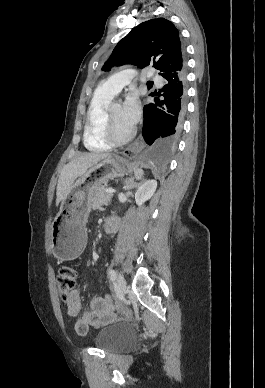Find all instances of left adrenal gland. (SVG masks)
<instances>
[{
    "instance_id": "obj_1",
    "label": "left adrenal gland",
    "mask_w": 265,
    "mask_h": 388,
    "mask_svg": "<svg viewBox=\"0 0 265 388\" xmlns=\"http://www.w3.org/2000/svg\"><path fill=\"white\" fill-rule=\"evenodd\" d=\"M142 182H144V180H142ZM142 182H140V184H142ZM124 184V188H126V190H131V188H137V186H140V184H136V182H134V178H128Z\"/></svg>"
}]
</instances>
